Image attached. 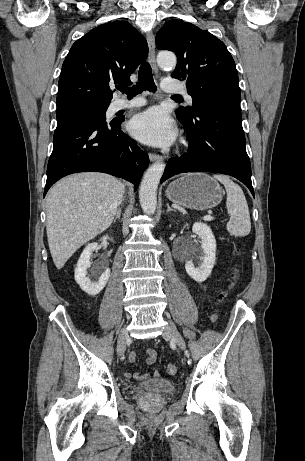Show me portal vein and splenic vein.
I'll return each instance as SVG.
<instances>
[{
	"mask_svg": "<svg viewBox=\"0 0 305 461\" xmlns=\"http://www.w3.org/2000/svg\"><path fill=\"white\" fill-rule=\"evenodd\" d=\"M213 219L214 218L211 215H206V216L203 217V220H205V221H211Z\"/></svg>",
	"mask_w": 305,
	"mask_h": 461,
	"instance_id": "1",
	"label": "portal vein and splenic vein"
}]
</instances>
